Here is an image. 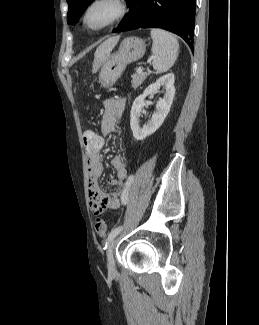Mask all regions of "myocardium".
<instances>
[{
    "instance_id": "f54148a6",
    "label": "myocardium",
    "mask_w": 259,
    "mask_h": 325,
    "mask_svg": "<svg viewBox=\"0 0 259 325\" xmlns=\"http://www.w3.org/2000/svg\"><path fill=\"white\" fill-rule=\"evenodd\" d=\"M103 2H111L116 6V13L115 15L110 18L109 20L98 24V25H93L91 23H89L88 21V16L90 11L92 10V8L94 6H96L99 3H103ZM127 2L126 0H90L84 7L82 14H81V23L83 25V27L91 32H98L101 30H104L106 28L111 27L112 25L116 24L117 22H119L127 13Z\"/></svg>"
}]
</instances>
